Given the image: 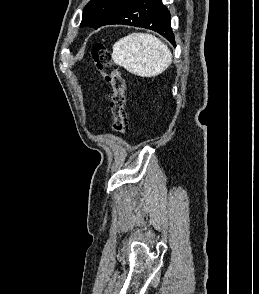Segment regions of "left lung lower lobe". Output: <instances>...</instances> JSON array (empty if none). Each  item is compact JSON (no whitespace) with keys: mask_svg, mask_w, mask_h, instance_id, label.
<instances>
[{"mask_svg":"<svg viewBox=\"0 0 259 294\" xmlns=\"http://www.w3.org/2000/svg\"><path fill=\"white\" fill-rule=\"evenodd\" d=\"M170 19V13L161 0H125L113 9L101 26L124 24L151 29L175 46Z\"/></svg>","mask_w":259,"mask_h":294,"instance_id":"obj_1","label":"left lung lower lobe"}]
</instances>
